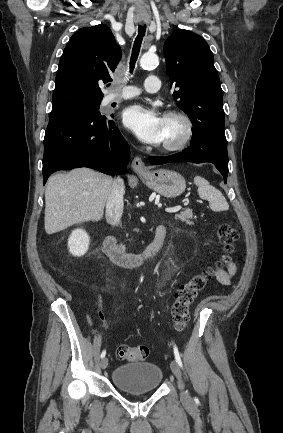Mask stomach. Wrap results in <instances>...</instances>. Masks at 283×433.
I'll return each mask as SVG.
<instances>
[{
  "mask_svg": "<svg viewBox=\"0 0 283 433\" xmlns=\"http://www.w3.org/2000/svg\"><path fill=\"white\" fill-rule=\"evenodd\" d=\"M140 174L144 184H147L152 190H156L163 196L174 198L182 194L186 188V180L182 174L175 172V170H141Z\"/></svg>",
  "mask_w": 283,
  "mask_h": 433,
  "instance_id": "0dacf381",
  "label": "stomach"
}]
</instances>
